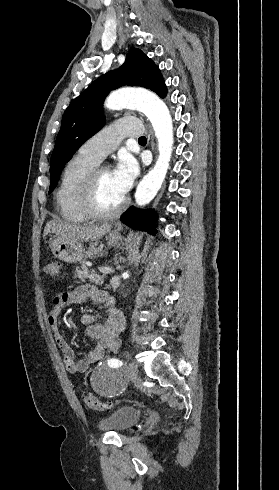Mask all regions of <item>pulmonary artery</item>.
I'll use <instances>...</instances> for the list:
<instances>
[{"label": "pulmonary artery", "instance_id": "obj_1", "mask_svg": "<svg viewBox=\"0 0 279 490\" xmlns=\"http://www.w3.org/2000/svg\"><path fill=\"white\" fill-rule=\"evenodd\" d=\"M145 125L138 117H121L119 122H110L109 128H104L90 138L80 147L79 154L99 164L105 156L114 150L123 136H133L136 140L142 137Z\"/></svg>", "mask_w": 279, "mask_h": 490}]
</instances>
